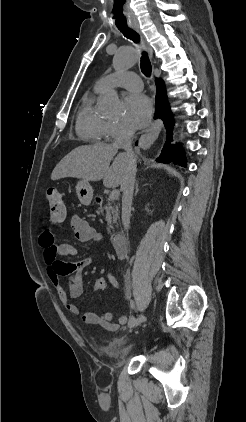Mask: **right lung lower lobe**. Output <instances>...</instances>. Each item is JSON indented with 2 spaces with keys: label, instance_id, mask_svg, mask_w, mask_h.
<instances>
[{
  "label": "right lung lower lobe",
  "instance_id": "98d812e1",
  "mask_svg": "<svg viewBox=\"0 0 246 422\" xmlns=\"http://www.w3.org/2000/svg\"><path fill=\"white\" fill-rule=\"evenodd\" d=\"M155 83L157 86L155 118H161L163 120L167 134V140L156 161L161 163L173 162L182 167H186L187 161L183 149L177 145L170 144L174 120L167 100L164 82L160 79H156Z\"/></svg>",
  "mask_w": 246,
  "mask_h": 422
}]
</instances>
